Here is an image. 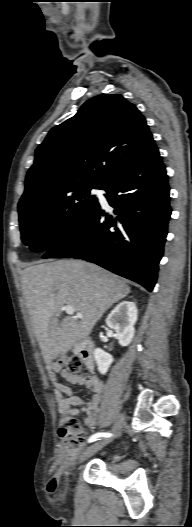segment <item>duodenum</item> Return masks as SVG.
<instances>
[{
  "label": "duodenum",
  "mask_w": 192,
  "mask_h": 527,
  "mask_svg": "<svg viewBox=\"0 0 192 527\" xmlns=\"http://www.w3.org/2000/svg\"><path fill=\"white\" fill-rule=\"evenodd\" d=\"M93 350H94V344L89 339L83 340L76 347V351L78 355L87 363L89 367L93 366V362H92Z\"/></svg>",
  "instance_id": "obj_1"
}]
</instances>
